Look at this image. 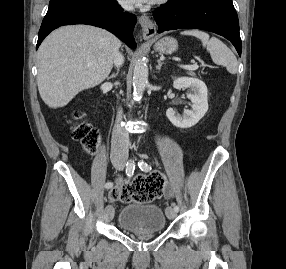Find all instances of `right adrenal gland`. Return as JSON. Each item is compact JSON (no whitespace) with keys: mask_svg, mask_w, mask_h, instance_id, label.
<instances>
[{"mask_svg":"<svg viewBox=\"0 0 286 269\" xmlns=\"http://www.w3.org/2000/svg\"><path fill=\"white\" fill-rule=\"evenodd\" d=\"M118 73H119V68H117V71H116V73H114V74H112L109 78H113V77H116L117 75H118Z\"/></svg>","mask_w":286,"mask_h":269,"instance_id":"right-adrenal-gland-1","label":"right adrenal gland"}]
</instances>
